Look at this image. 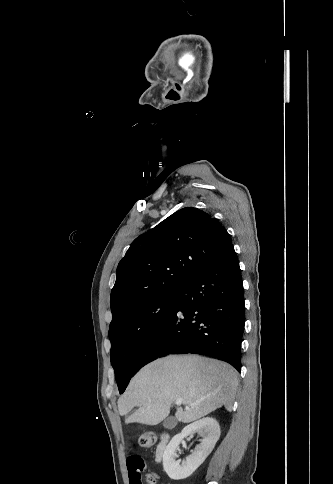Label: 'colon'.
Returning a JSON list of instances; mask_svg holds the SVG:
<instances>
[{
	"mask_svg": "<svg viewBox=\"0 0 333 484\" xmlns=\"http://www.w3.org/2000/svg\"><path fill=\"white\" fill-rule=\"evenodd\" d=\"M157 441L156 434L153 432H145L140 435L138 439V443L141 447L143 448H149L152 447ZM156 480V475L155 474H150L148 476V481L153 483Z\"/></svg>",
	"mask_w": 333,
	"mask_h": 484,
	"instance_id": "obj_1",
	"label": "colon"
}]
</instances>
